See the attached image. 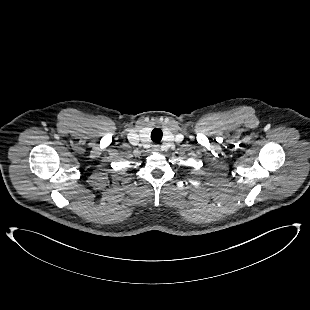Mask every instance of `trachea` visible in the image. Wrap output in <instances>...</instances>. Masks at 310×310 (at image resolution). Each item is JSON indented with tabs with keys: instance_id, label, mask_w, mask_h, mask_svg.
<instances>
[{
	"instance_id": "trachea-1",
	"label": "trachea",
	"mask_w": 310,
	"mask_h": 310,
	"mask_svg": "<svg viewBox=\"0 0 310 310\" xmlns=\"http://www.w3.org/2000/svg\"><path fill=\"white\" fill-rule=\"evenodd\" d=\"M162 135H163L162 131L158 128H155L151 132V139L153 142L159 143L162 139Z\"/></svg>"
}]
</instances>
